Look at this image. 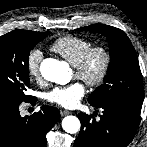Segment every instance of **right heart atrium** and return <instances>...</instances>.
<instances>
[{"label":"right heart atrium","mask_w":147,"mask_h":147,"mask_svg":"<svg viewBox=\"0 0 147 147\" xmlns=\"http://www.w3.org/2000/svg\"><path fill=\"white\" fill-rule=\"evenodd\" d=\"M42 52L39 49H32L26 59V70L31 79L39 80L41 78L40 63Z\"/></svg>","instance_id":"1"}]
</instances>
